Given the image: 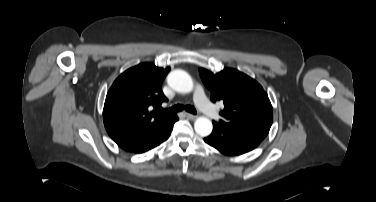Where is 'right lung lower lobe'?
I'll list each match as a JSON object with an SVG mask.
<instances>
[{
  "label": "right lung lower lobe",
  "instance_id": "right-lung-lower-lobe-1",
  "mask_svg": "<svg viewBox=\"0 0 376 202\" xmlns=\"http://www.w3.org/2000/svg\"><path fill=\"white\" fill-rule=\"evenodd\" d=\"M178 120L176 114L170 117L166 122H164L159 127L147 132L143 137L138 140L121 147L125 151L133 153H143L146 152L167 140L173 129V124Z\"/></svg>",
  "mask_w": 376,
  "mask_h": 202
}]
</instances>
